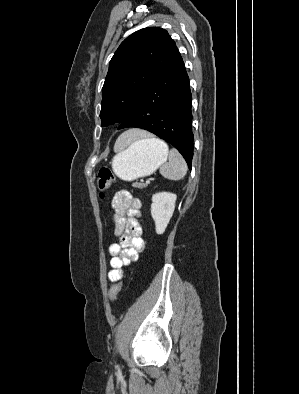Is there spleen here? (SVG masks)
<instances>
[{
    "mask_svg": "<svg viewBox=\"0 0 299 394\" xmlns=\"http://www.w3.org/2000/svg\"><path fill=\"white\" fill-rule=\"evenodd\" d=\"M145 140L155 145L164 146L168 149L167 144L159 139L150 138ZM119 142L122 144L121 148H123L125 146L123 145V135H121ZM186 172H187V164L184 158L182 157V155L179 153L177 149L172 148L169 152V162L163 164L160 167L161 175L167 179L176 181L182 179L186 175Z\"/></svg>",
    "mask_w": 299,
    "mask_h": 394,
    "instance_id": "3e777b00",
    "label": "spleen"
}]
</instances>
